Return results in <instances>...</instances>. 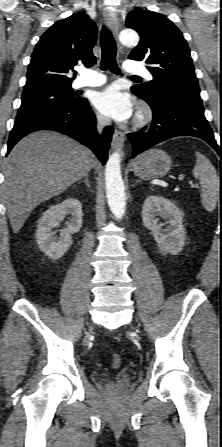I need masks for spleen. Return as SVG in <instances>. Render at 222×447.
Masks as SVG:
<instances>
[{"label":"spleen","mask_w":222,"mask_h":447,"mask_svg":"<svg viewBox=\"0 0 222 447\" xmlns=\"http://www.w3.org/2000/svg\"><path fill=\"white\" fill-rule=\"evenodd\" d=\"M196 164L193 169V176L200 181L201 199L204 208L207 211H213L216 207L219 190L220 179L215 167L210 160L199 152H195Z\"/></svg>","instance_id":"obj_1"}]
</instances>
